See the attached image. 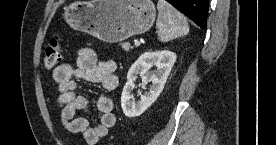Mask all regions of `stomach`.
<instances>
[{
    "mask_svg": "<svg viewBox=\"0 0 276 145\" xmlns=\"http://www.w3.org/2000/svg\"><path fill=\"white\" fill-rule=\"evenodd\" d=\"M63 17L71 28L115 43L148 31L156 9L151 0L74 1L64 7Z\"/></svg>",
    "mask_w": 276,
    "mask_h": 145,
    "instance_id": "obj_1",
    "label": "stomach"
}]
</instances>
